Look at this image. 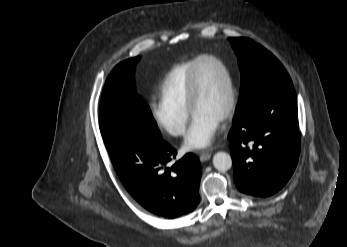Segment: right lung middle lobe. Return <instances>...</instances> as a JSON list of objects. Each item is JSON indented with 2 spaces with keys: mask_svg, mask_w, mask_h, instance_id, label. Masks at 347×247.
Masks as SVG:
<instances>
[{
  "mask_svg": "<svg viewBox=\"0 0 347 247\" xmlns=\"http://www.w3.org/2000/svg\"><path fill=\"white\" fill-rule=\"evenodd\" d=\"M139 60L140 56L119 63L106 80L99 116L102 136L128 122L161 136L148 105L135 91L134 69Z\"/></svg>",
  "mask_w": 347,
  "mask_h": 247,
  "instance_id": "obj_1",
  "label": "right lung middle lobe"
}]
</instances>
